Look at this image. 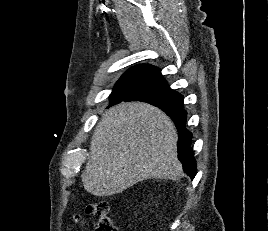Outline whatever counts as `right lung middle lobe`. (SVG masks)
<instances>
[{
    "instance_id": "1",
    "label": "right lung middle lobe",
    "mask_w": 268,
    "mask_h": 231,
    "mask_svg": "<svg viewBox=\"0 0 268 231\" xmlns=\"http://www.w3.org/2000/svg\"><path fill=\"white\" fill-rule=\"evenodd\" d=\"M126 92L138 98L164 101L173 105L183 106V97L179 93L170 89L168 85L157 83H146L130 89L114 88L110 98L113 99Z\"/></svg>"
}]
</instances>
